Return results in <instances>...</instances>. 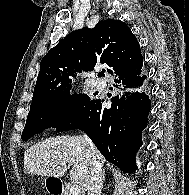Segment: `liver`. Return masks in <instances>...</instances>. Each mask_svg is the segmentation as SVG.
<instances>
[{"label":"liver","mask_w":189,"mask_h":195,"mask_svg":"<svg viewBox=\"0 0 189 195\" xmlns=\"http://www.w3.org/2000/svg\"><path fill=\"white\" fill-rule=\"evenodd\" d=\"M96 149V148H95ZM101 163L105 162L96 149ZM90 148L84 136H57L27 148L24 153V172L53 178L62 177L70 170V179L87 191L90 175Z\"/></svg>","instance_id":"6515ba94"}]
</instances>
